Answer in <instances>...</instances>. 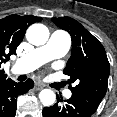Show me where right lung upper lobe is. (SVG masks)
Instances as JSON below:
<instances>
[{
  "label": "right lung upper lobe",
  "instance_id": "right-lung-upper-lobe-1",
  "mask_svg": "<svg viewBox=\"0 0 117 117\" xmlns=\"http://www.w3.org/2000/svg\"><path fill=\"white\" fill-rule=\"evenodd\" d=\"M41 17L32 15L19 16L16 14L0 20V85L7 80L1 65L16 54V48L23 40L26 29L35 22H40Z\"/></svg>",
  "mask_w": 117,
  "mask_h": 117
}]
</instances>
